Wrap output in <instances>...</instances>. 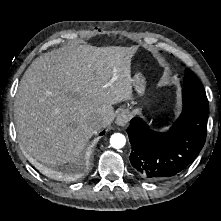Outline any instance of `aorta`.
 I'll list each match as a JSON object with an SVG mask.
<instances>
[{
    "label": "aorta",
    "mask_w": 221,
    "mask_h": 221,
    "mask_svg": "<svg viewBox=\"0 0 221 221\" xmlns=\"http://www.w3.org/2000/svg\"><path fill=\"white\" fill-rule=\"evenodd\" d=\"M126 138L121 133H114L110 138V144L115 149H121L125 146Z\"/></svg>",
    "instance_id": "obj_1"
}]
</instances>
